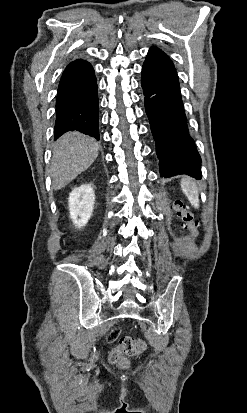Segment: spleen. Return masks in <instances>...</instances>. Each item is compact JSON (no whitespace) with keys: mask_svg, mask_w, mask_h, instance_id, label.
<instances>
[{"mask_svg":"<svg viewBox=\"0 0 247 413\" xmlns=\"http://www.w3.org/2000/svg\"><path fill=\"white\" fill-rule=\"evenodd\" d=\"M181 188L188 196V200H190L191 204H194L195 209H198L199 207V194H198V188L195 184V182H192L191 178H182L181 180Z\"/></svg>","mask_w":247,"mask_h":413,"instance_id":"obj_1","label":"spleen"}]
</instances>
